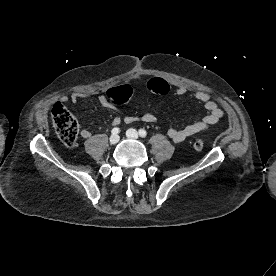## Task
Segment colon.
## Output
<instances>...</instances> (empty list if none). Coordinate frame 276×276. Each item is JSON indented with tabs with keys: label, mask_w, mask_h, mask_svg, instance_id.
Instances as JSON below:
<instances>
[{
	"label": "colon",
	"mask_w": 276,
	"mask_h": 276,
	"mask_svg": "<svg viewBox=\"0 0 276 276\" xmlns=\"http://www.w3.org/2000/svg\"><path fill=\"white\" fill-rule=\"evenodd\" d=\"M148 85L152 90L156 91L155 93H160L169 87L166 81L159 78L151 79ZM131 95L132 92L128 88L123 87L111 89L108 93V98L114 103H120L129 100ZM51 120L59 139L67 146L74 145L78 138L79 125L77 119L63 104L56 103L53 105ZM192 147L199 152L203 149L204 143L201 140H196Z\"/></svg>",
	"instance_id": "5ec220e1"
}]
</instances>
